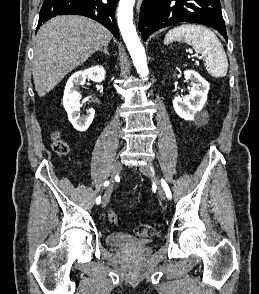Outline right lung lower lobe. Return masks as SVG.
Segmentation results:
<instances>
[{
	"mask_svg": "<svg viewBox=\"0 0 259 294\" xmlns=\"http://www.w3.org/2000/svg\"><path fill=\"white\" fill-rule=\"evenodd\" d=\"M119 0H44L37 30L42 23L57 15L77 14L92 18L105 26L119 39L115 8Z\"/></svg>",
	"mask_w": 259,
	"mask_h": 294,
	"instance_id": "right-lung-lower-lobe-1",
	"label": "right lung lower lobe"
}]
</instances>
